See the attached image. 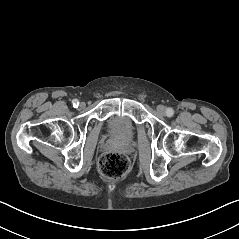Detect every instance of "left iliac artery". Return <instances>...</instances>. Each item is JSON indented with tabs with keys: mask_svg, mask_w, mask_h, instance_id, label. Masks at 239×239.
<instances>
[{
	"mask_svg": "<svg viewBox=\"0 0 239 239\" xmlns=\"http://www.w3.org/2000/svg\"><path fill=\"white\" fill-rule=\"evenodd\" d=\"M166 112H167V116H169V117L173 116V114H174V111L172 108H167Z\"/></svg>",
	"mask_w": 239,
	"mask_h": 239,
	"instance_id": "1",
	"label": "left iliac artery"
}]
</instances>
